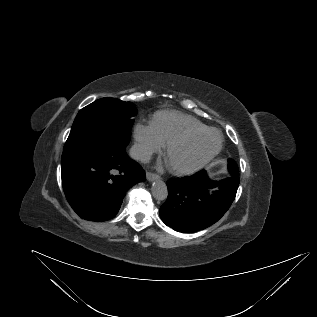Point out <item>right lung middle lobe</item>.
Masks as SVG:
<instances>
[{
	"label": "right lung middle lobe",
	"mask_w": 317,
	"mask_h": 317,
	"mask_svg": "<svg viewBox=\"0 0 317 317\" xmlns=\"http://www.w3.org/2000/svg\"><path fill=\"white\" fill-rule=\"evenodd\" d=\"M136 114L133 103L116 98H101L81 109L65 143L62 164L107 145L126 147Z\"/></svg>",
	"instance_id": "dd1d6c3e"
}]
</instances>
